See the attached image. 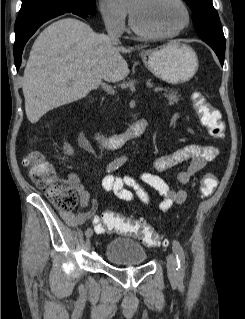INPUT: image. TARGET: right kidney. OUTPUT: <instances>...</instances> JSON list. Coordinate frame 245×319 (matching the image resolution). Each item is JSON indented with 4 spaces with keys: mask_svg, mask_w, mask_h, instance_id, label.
<instances>
[{
    "mask_svg": "<svg viewBox=\"0 0 245 319\" xmlns=\"http://www.w3.org/2000/svg\"><path fill=\"white\" fill-rule=\"evenodd\" d=\"M63 149L65 154L72 155L74 153L73 148L67 143L64 144Z\"/></svg>",
    "mask_w": 245,
    "mask_h": 319,
    "instance_id": "ca27d5eb",
    "label": "right kidney"
}]
</instances>
